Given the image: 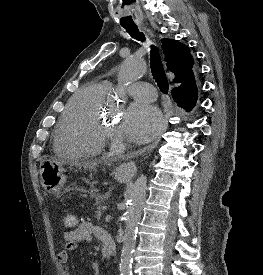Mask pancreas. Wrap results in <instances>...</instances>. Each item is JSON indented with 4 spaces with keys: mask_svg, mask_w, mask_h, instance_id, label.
<instances>
[{
    "mask_svg": "<svg viewBox=\"0 0 263 275\" xmlns=\"http://www.w3.org/2000/svg\"><path fill=\"white\" fill-rule=\"evenodd\" d=\"M93 196L96 199V206H97V210L95 212V218L97 220H100L101 216L103 214L104 208H105V206L103 205V202L106 199V196L98 194V193H93Z\"/></svg>",
    "mask_w": 263,
    "mask_h": 275,
    "instance_id": "obj_1",
    "label": "pancreas"
}]
</instances>
